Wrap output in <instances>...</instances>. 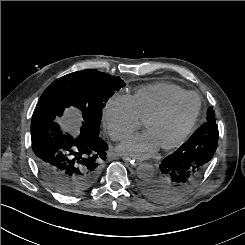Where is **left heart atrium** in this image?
I'll list each match as a JSON object with an SVG mask.
<instances>
[{"label":"left heart atrium","mask_w":245,"mask_h":245,"mask_svg":"<svg viewBox=\"0 0 245 245\" xmlns=\"http://www.w3.org/2000/svg\"><path fill=\"white\" fill-rule=\"evenodd\" d=\"M159 148L158 142L150 132L128 138L118 150L126 156L139 159L153 155Z\"/></svg>","instance_id":"39dd6f15"}]
</instances>
